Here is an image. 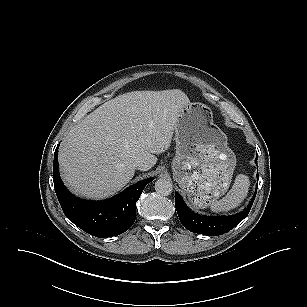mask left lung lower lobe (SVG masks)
<instances>
[{
	"label": "left lung lower lobe",
	"mask_w": 307,
	"mask_h": 307,
	"mask_svg": "<svg viewBox=\"0 0 307 307\" xmlns=\"http://www.w3.org/2000/svg\"><path fill=\"white\" fill-rule=\"evenodd\" d=\"M255 163L257 164V157ZM257 187L258 183L256 189ZM255 196L256 194L251 199L247 208L238 214L230 216H204L194 213L185 205L182 197L177 192L175 193V206L180 222L189 231L203 235L218 236L233 229L249 214Z\"/></svg>",
	"instance_id": "0a47b994"
}]
</instances>
